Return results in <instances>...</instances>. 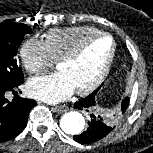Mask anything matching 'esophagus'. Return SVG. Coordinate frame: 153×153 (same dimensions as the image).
I'll return each instance as SVG.
<instances>
[{
    "label": "esophagus",
    "instance_id": "obj_1",
    "mask_svg": "<svg viewBox=\"0 0 153 153\" xmlns=\"http://www.w3.org/2000/svg\"><path fill=\"white\" fill-rule=\"evenodd\" d=\"M52 110L54 112L63 113L67 111V107L66 106H55V107H52Z\"/></svg>",
    "mask_w": 153,
    "mask_h": 153
}]
</instances>
